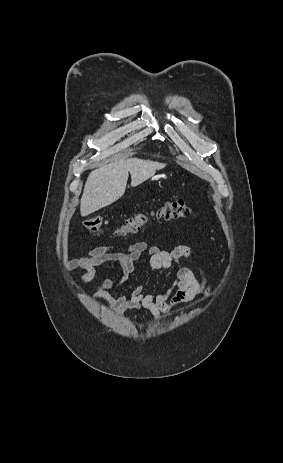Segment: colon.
<instances>
[{
  "mask_svg": "<svg viewBox=\"0 0 283 463\" xmlns=\"http://www.w3.org/2000/svg\"><path fill=\"white\" fill-rule=\"evenodd\" d=\"M158 218L164 220H182L192 215L191 207L182 200L165 201L156 213ZM149 218L148 213L138 211L127 218L118 230L119 235L137 233ZM104 219L101 216L88 217L83 221V226L94 233H101Z\"/></svg>",
  "mask_w": 283,
  "mask_h": 463,
  "instance_id": "1",
  "label": "colon"
}]
</instances>
